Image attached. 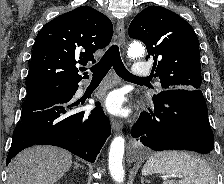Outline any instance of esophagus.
Here are the masks:
<instances>
[{"label":"esophagus","mask_w":224,"mask_h":184,"mask_svg":"<svg viewBox=\"0 0 224 184\" xmlns=\"http://www.w3.org/2000/svg\"><path fill=\"white\" fill-rule=\"evenodd\" d=\"M115 39L117 43L121 46L125 43V24L123 20H119L117 25H116V36ZM111 126L115 131H120L122 129V123L115 119L111 118Z\"/></svg>","instance_id":"1"}]
</instances>
